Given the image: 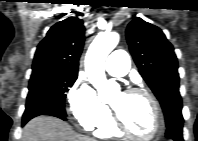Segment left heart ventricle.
Returning <instances> with one entry per match:
<instances>
[{"instance_id": "left-heart-ventricle-1", "label": "left heart ventricle", "mask_w": 198, "mask_h": 141, "mask_svg": "<svg viewBox=\"0 0 198 141\" xmlns=\"http://www.w3.org/2000/svg\"><path fill=\"white\" fill-rule=\"evenodd\" d=\"M110 105L132 132L147 137L155 130L153 107L149 99L139 94L117 92Z\"/></svg>"}]
</instances>
